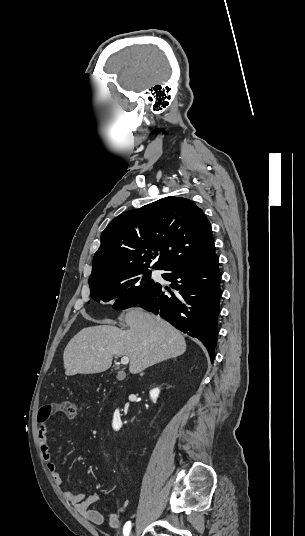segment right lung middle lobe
Returning <instances> with one entry per match:
<instances>
[{
    "mask_svg": "<svg viewBox=\"0 0 305 536\" xmlns=\"http://www.w3.org/2000/svg\"><path fill=\"white\" fill-rule=\"evenodd\" d=\"M148 269L135 270L110 279L89 282L91 297L99 302H112L115 309L136 305L157 285Z\"/></svg>",
    "mask_w": 305,
    "mask_h": 536,
    "instance_id": "1",
    "label": "right lung middle lobe"
}]
</instances>
